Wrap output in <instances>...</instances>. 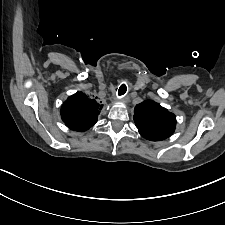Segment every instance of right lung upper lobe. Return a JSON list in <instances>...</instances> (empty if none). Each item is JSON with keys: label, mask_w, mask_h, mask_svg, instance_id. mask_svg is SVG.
<instances>
[{"label": "right lung upper lobe", "mask_w": 225, "mask_h": 225, "mask_svg": "<svg viewBox=\"0 0 225 225\" xmlns=\"http://www.w3.org/2000/svg\"><path fill=\"white\" fill-rule=\"evenodd\" d=\"M101 107L94 99L77 92L63 103L61 118L71 130L84 132L97 122Z\"/></svg>", "instance_id": "cb5924a9"}]
</instances>
